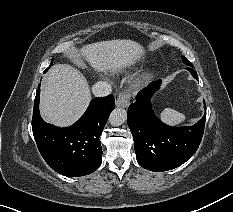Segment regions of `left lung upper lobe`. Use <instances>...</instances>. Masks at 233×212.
I'll return each instance as SVG.
<instances>
[{"mask_svg":"<svg viewBox=\"0 0 233 212\" xmlns=\"http://www.w3.org/2000/svg\"><path fill=\"white\" fill-rule=\"evenodd\" d=\"M183 61L186 65L193 67V65L185 57H183Z\"/></svg>","mask_w":233,"mask_h":212,"instance_id":"1","label":"left lung upper lobe"}]
</instances>
